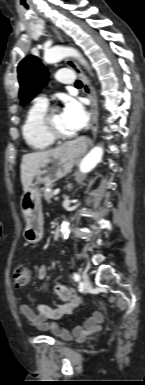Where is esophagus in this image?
Here are the masks:
<instances>
[{
    "mask_svg": "<svg viewBox=\"0 0 145 385\" xmlns=\"http://www.w3.org/2000/svg\"><path fill=\"white\" fill-rule=\"evenodd\" d=\"M54 33L56 34L57 38L60 41H64L63 36L61 33L56 29L52 28ZM66 64L75 71V73L80 77L82 83H83V93L90 99L91 101V131L93 134V137H96L97 131H98V103H97V95L95 92L94 87L89 82L88 78L85 76L79 65L73 60V59H66ZM89 145H92V140L89 141ZM70 146L73 149L76 150H82L85 148V145L82 141L77 140L74 143L70 144Z\"/></svg>",
    "mask_w": 145,
    "mask_h": 385,
    "instance_id": "34e87169",
    "label": "esophagus"
}]
</instances>
